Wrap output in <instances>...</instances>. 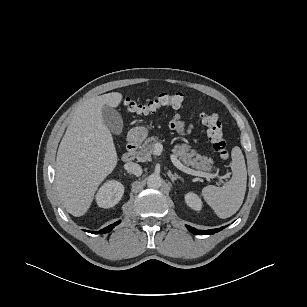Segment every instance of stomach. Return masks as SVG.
<instances>
[{
  "label": "stomach",
  "mask_w": 307,
  "mask_h": 307,
  "mask_svg": "<svg viewBox=\"0 0 307 307\" xmlns=\"http://www.w3.org/2000/svg\"><path fill=\"white\" fill-rule=\"evenodd\" d=\"M135 139H143L147 136L148 130L145 127H136L131 131Z\"/></svg>",
  "instance_id": "obj_1"
}]
</instances>
